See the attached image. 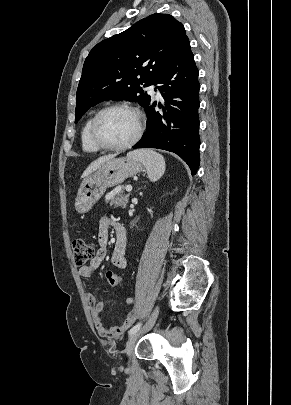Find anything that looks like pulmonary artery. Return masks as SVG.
<instances>
[{
    "label": "pulmonary artery",
    "mask_w": 291,
    "mask_h": 405,
    "mask_svg": "<svg viewBox=\"0 0 291 405\" xmlns=\"http://www.w3.org/2000/svg\"><path fill=\"white\" fill-rule=\"evenodd\" d=\"M149 91L153 94V93H158V87L157 85L153 84L151 86H149Z\"/></svg>",
    "instance_id": "pulmonary-artery-1"
}]
</instances>
